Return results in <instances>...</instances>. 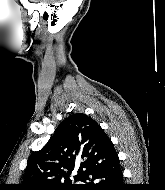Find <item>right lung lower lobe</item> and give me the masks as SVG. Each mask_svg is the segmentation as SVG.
<instances>
[{"label":"right lung lower lobe","mask_w":165,"mask_h":190,"mask_svg":"<svg viewBox=\"0 0 165 190\" xmlns=\"http://www.w3.org/2000/svg\"><path fill=\"white\" fill-rule=\"evenodd\" d=\"M80 181L86 184L78 190H127L117 154L91 167Z\"/></svg>","instance_id":"98d812e1"}]
</instances>
